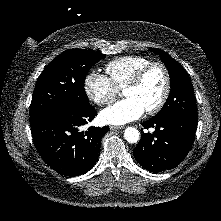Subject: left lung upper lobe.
Masks as SVG:
<instances>
[{"label":"left lung upper lobe","instance_id":"left-lung-upper-lobe-1","mask_svg":"<svg viewBox=\"0 0 221 221\" xmlns=\"http://www.w3.org/2000/svg\"><path fill=\"white\" fill-rule=\"evenodd\" d=\"M151 51L158 54L162 59L168 69L171 82L169 97L156 116L184 114L191 117H198L193 87L186 70L163 50L152 48Z\"/></svg>","mask_w":221,"mask_h":221}]
</instances>
